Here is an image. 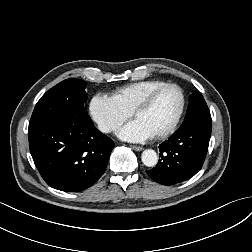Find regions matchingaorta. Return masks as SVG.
I'll list each match as a JSON object with an SVG mask.
<instances>
[{
    "mask_svg": "<svg viewBox=\"0 0 252 252\" xmlns=\"http://www.w3.org/2000/svg\"><path fill=\"white\" fill-rule=\"evenodd\" d=\"M141 160L145 166L153 167L158 162V156L154 150L146 149L142 153Z\"/></svg>",
    "mask_w": 252,
    "mask_h": 252,
    "instance_id": "aorta-1",
    "label": "aorta"
}]
</instances>
